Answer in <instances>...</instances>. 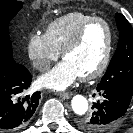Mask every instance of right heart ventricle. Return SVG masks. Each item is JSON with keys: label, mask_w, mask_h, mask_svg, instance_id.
Wrapping results in <instances>:
<instances>
[{"label": "right heart ventricle", "mask_w": 133, "mask_h": 133, "mask_svg": "<svg viewBox=\"0 0 133 133\" xmlns=\"http://www.w3.org/2000/svg\"><path fill=\"white\" fill-rule=\"evenodd\" d=\"M92 17L79 11L67 13L50 22L46 28L45 35L52 46L60 52L80 26Z\"/></svg>", "instance_id": "right-heart-ventricle-1"}]
</instances>
